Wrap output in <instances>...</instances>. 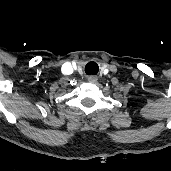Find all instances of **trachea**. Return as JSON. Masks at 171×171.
<instances>
[{
  "instance_id": "trachea-1",
  "label": "trachea",
  "mask_w": 171,
  "mask_h": 171,
  "mask_svg": "<svg viewBox=\"0 0 171 171\" xmlns=\"http://www.w3.org/2000/svg\"><path fill=\"white\" fill-rule=\"evenodd\" d=\"M98 70H99V67L94 62L88 63L85 67V72L88 75H90V74L96 75L98 73Z\"/></svg>"
}]
</instances>
